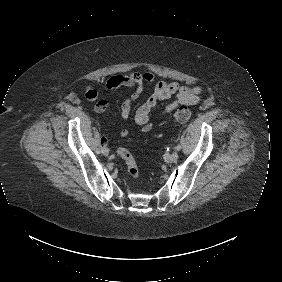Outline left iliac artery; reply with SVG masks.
Wrapping results in <instances>:
<instances>
[{"label": "left iliac artery", "mask_w": 282, "mask_h": 282, "mask_svg": "<svg viewBox=\"0 0 282 282\" xmlns=\"http://www.w3.org/2000/svg\"><path fill=\"white\" fill-rule=\"evenodd\" d=\"M181 149V146L178 144L176 147H175V150L176 151H179Z\"/></svg>", "instance_id": "obj_1"}]
</instances>
